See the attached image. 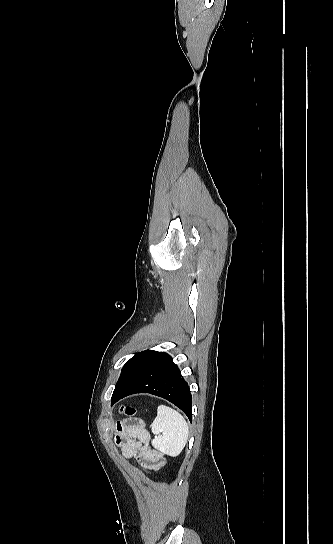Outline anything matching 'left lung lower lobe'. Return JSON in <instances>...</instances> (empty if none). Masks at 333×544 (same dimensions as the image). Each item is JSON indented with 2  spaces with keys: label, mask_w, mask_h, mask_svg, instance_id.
<instances>
[{
  "label": "left lung lower lobe",
  "mask_w": 333,
  "mask_h": 544,
  "mask_svg": "<svg viewBox=\"0 0 333 544\" xmlns=\"http://www.w3.org/2000/svg\"><path fill=\"white\" fill-rule=\"evenodd\" d=\"M134 393H150L179 407L192 421V396L172 358L156 353L121 390L113 392L112 404Z\"/></svg>",
  "instance_id": "0a47b994"
}]
</instances>
